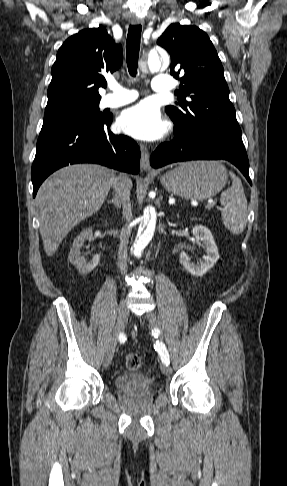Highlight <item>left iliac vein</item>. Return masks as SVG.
<instances>
[{"label": "left iliac vein", "instance_id": "left-iliac-vein-1", "mask_svg": "<svg viewBox=\"0 0 287 486\" xmlns=\"http://www.w3.org/2000/svg\"><path fill=\"white\" fill-rule=\"evenodd\" d=\"M146 318L148 319L149 323L155 330L157 331L160 330L161 320L154 312H148L146 314ZM161 370L164 375H170L172 372V368L169 365H163Z\"/></svg>", "mask_w": 287, "mask_h": 486}]
</instances>
